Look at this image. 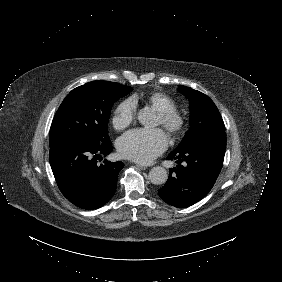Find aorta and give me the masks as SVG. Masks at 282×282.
Wrapping results in <instances>:
<instances>
[{"label":"aorta","instance_id":"1","mask_svg":"<svg viewBox=\"0 0 282 282\" xmlns=\"http://www.w3.org/2000/svg\"><path fill=\"white\" fill-rule=\"evenodd\" d=\"M138 120L144 126H151L153 123V114L149 108H144L139 112ZM149 179L153 184H164L168 179V172L163 166H155L149 172Z\"/></svg>","mask_w":282,"mask_h":282}]
</instances>
